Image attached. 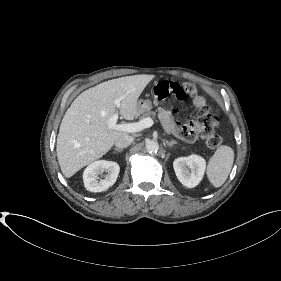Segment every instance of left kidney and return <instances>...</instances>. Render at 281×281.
<instances>
[{
	"label": "left kidney",
	"instance_id": "obj_1",
	"mask_svg": "<svg viewBox=\"0 0 281 281\" xmlns=\"http://www.w3.org/2000/svg\"><path fill=\"white\" fill-rule=\"evenodd\" d=\"M173 168L178 180L186 187L193 188L202 180L206 161L203 157L192 154L187 157L176 158Z\"/></svg>",
	"mask_w": 281,
	"mask_h": 281
}]
</instances>
